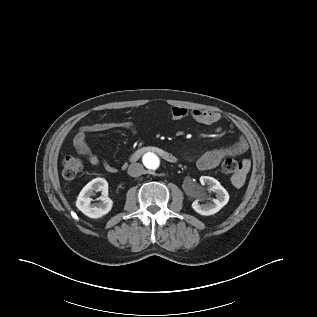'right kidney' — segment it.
<instances>
[{
  "label": "right kidney",
  "mask_w": 317,
  "mask_h": 317,
  "mask_svg": "<svg viewBox=\"0 0 317 317\" xmlns=\"http://www.w3.org/2000/svg\"><path fill=\"white\" fill-rule=\"evenodd\" d=\"M93 191L102 192L101 201L91 204L90 196ZM113 201L108 197V182L104 178H95L90 181L79 193L76 207L90 218H100L106 215L112 208Z\"/></svg>",
  "instance_id": "1"
}]
</instances>
